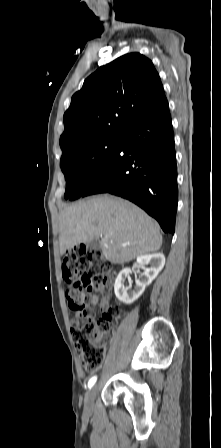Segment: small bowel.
Masks as SVG:
<instances>
[{
  "instance_id": "small-bowel-1",
  "label": "small bowel",
  "mask_w": 221,
  "mask_h": 448,
  "mask_svg": "<svg viewBox=\"0 0 221 448\" xmlns=\"http://www.w3.org/2000/svg\"><path fill=\"white\" fill-rule=\"evenodd\" d=\"M102 293V299L99 300L98 295L93 294L90 297V305L91 306H96L98 305L100 307V309L102 310H106L110 304V293L109 290L106 288H101L99 290ZM81 318L80 314H76L72 320V324L76 325L79 321V319Z\"/></svg>"
}]
</instances>
